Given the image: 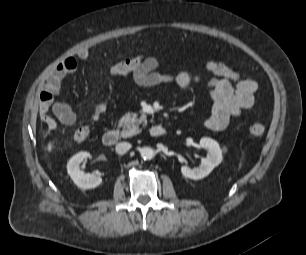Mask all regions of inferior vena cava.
I'll return each instance as SVG.
<instances>
[{
    "label": "inferior vena cava",
    "instance_id": "602c4592",
    "mask_svg": "<svg viewBox=\"0 0 306 255\" xmlns=\"http://www.w3.org/2000/svg\"><path fill=\"white\" fill-rule=\"evenodd\" d=\"M131 147L132 145L130 143L121 142L116 145L115 150H116V153L122 155V154H125Z\"/></svg>",
    "mask_w": 306,
    "mask_h": 255
}]
</instances>
